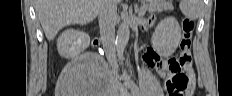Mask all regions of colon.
<instances>
[{"instance_id":"colon-1","label":"colon","mask_w":232,"mask_h":96,"mask_svg":"<svg viewBox=\"0 0 232 96\" xmlns=\"http://www.w3.org/2000/svg\"><path fill=\"white\" fill-rule=\"evenodd\" d=\"M183 35L180 42V52L176 58H171L168 68H163L165 88L169 96H182L184 92L189 95L191 79L186 72V67L191 65V44L194 23L190 19L182 22Z\"/></svg>"}]
</instances>
